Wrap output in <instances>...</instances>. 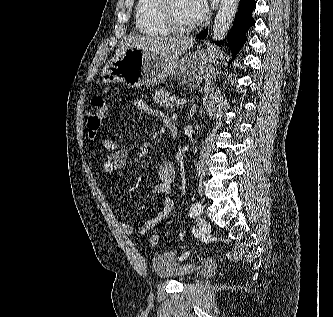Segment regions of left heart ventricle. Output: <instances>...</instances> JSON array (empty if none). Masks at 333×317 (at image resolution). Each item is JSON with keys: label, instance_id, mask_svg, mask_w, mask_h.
I'll list each match as a JSON object with an SVG mask.
<instances>
[{"label": "left heart ventricle", "instance_id": "1", "mask_svg": "<svg viewBox=\"0 0 333 317\" xmlns=\"http://www.w3.org/2000/svg\"><path fill=\"white\" fill-rule=\"evenodd\" d=\"M172 20L180 27H190L195 24L190 0H173L171 4Z\"/></svg>", "mask_w": 333, "mask_h": 317}]
</instances>
